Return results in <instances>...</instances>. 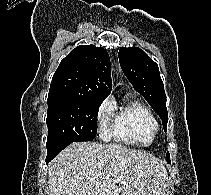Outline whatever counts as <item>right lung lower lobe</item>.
<instances>
[{"label": "right lung lower lobe", "mask_w": 211, "mask_h": 195, "mask_svg": "<svg viewBox=\"0 0 211 195\" xmlns=\"http://www.w3.org/2000/svg\"><path fill=\"white\" fill-rule=\"evenodd\" d=\"M70 143L65 144L63 146L57 147L52 151L47 152V157H46V163L50 162L55 156L62 151L66 146H68Z\"/></svg>", "instance_id": "obj_1"}]
</instances>
